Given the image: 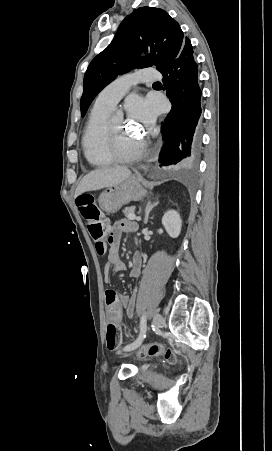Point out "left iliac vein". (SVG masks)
<instances>
[{
	"label": "left iliac vein",
	"instance_id": "1",
	"mask_svg": "<svg viewBox=\"0 0 272 451\" xmlns=\"http://www.w3.org/2000/svg\"><path fill=\"white\" fill-rule=\"evenodd\" d=\"M164 323L163 316L160 313H155L153 316V325L156 329H159Z\"/></svg>",
	"mask_w": 272,
	"mask_h": 451
}]
</instances>
